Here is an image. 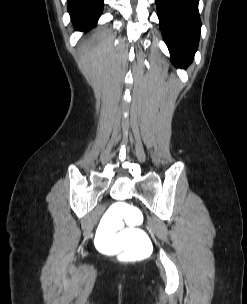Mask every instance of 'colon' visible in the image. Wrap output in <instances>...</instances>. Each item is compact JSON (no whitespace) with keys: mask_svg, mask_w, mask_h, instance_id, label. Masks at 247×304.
I'll return each mask as SVG.
<instances>
[{"mask_svg":"<svg viewBox=\"0 0 247 304\" xmlns=\"http://www.w3.org/2000/svg\"><path fill=\"white\" fill-rule=\"evenodd\" d=\"M144 225V215L136 202H113L104 210L94 233L99 253H122V259H150L154 241Z\"/></svg>","mask_w":247,"mask_h":304,"instance_id":"1","label":"colon"}]
</instances>
